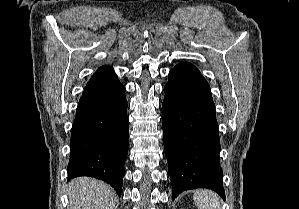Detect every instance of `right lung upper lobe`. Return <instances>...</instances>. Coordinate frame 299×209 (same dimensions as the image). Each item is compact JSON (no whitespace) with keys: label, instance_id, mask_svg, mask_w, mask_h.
<instances>
[{"label":"right lung upper lobe","instance_id":"cb5924a9","mask_svg":"<svg viewBox=\"0 0 299 209\" xmlns=\"http://www.w3.org/2000/svg\"><path fill=\"white\" fill-rule=\"evenodd\" d=\"M99 69H108L113 72V69L110 66H102Z\"/></svg>","mask_w":299,"mask_h":209}]
</instances>
